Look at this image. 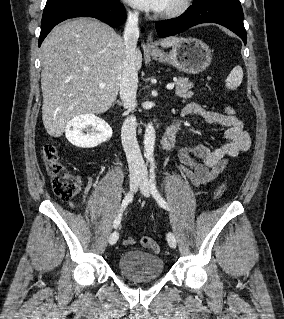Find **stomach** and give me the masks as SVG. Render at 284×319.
<instances>
[{"mask_svg": "<svg viewBox=\"0 0 284 319\" xmlns=\"http://www.w3.org/2000/svg\"><path fill=\"white\" fill-rule=\"evenodd\" d=\"M152 58L161 63H168L179 71L197 74L211 63L212 51L209 46L197 38H181L172 46L169 53H151Z\"/></svg>", "mask_w": 284, "mask_h": 319, "instance_id": "1", "label": "stomach"}]
</instances>
